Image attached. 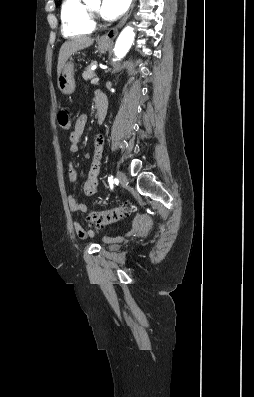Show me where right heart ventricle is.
I'll return each instance as SVG.
<instances>
[{"label":"right heart ventricle","instance_id":"obj_1","mask_svg":"<svg viewBox=\"0 0 254 397\" xmlns=\"http://www.w3.org/2000/svg\"><path fill=\"white\" fill-rule=\"evenodd\" d=\"M60 20L62 34L67 38L79 37L93 31L87 7L82 0H63L60 8Z\"/></svg>","mask_w":254,"mask_h":397}]
</instances>
